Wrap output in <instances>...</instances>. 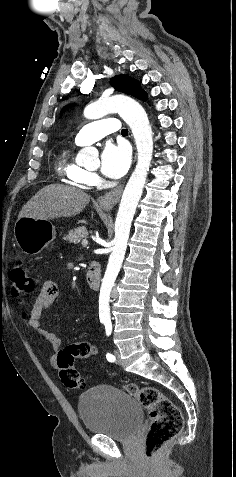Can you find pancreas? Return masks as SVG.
<instances>
[{"label":"pancreas","instance_id":"obj_1","mask_svg":"<svg viewBox=\"0 0 236 477\" xmlns=\"http://www.w3.org/2000/svg\"><path fill=\"white\" fill-rule=\"evenodd\" d=\"M88 235L87 229L85 226H81L75 228L74 230H70L67 234L63 236L65 241L70 243L78 244L82 238H86Z\"/></svg>","mask_w":236,"mask_h":477}]
</instances>
